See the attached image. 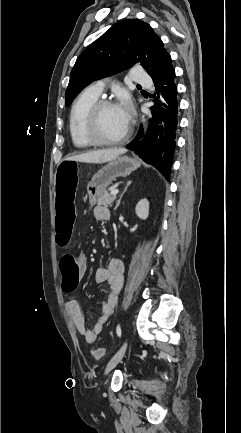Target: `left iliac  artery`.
<instances>
[{"label": "left iliac artery", "instance_id": "44dca946", "mask_svg": "<svg viewBox=\"0 0 241 433\" xmlns=\"http://www.w3.org/2000/svg\"><path fill=\"white\" fill-rule=\"evenodd\" d=\"M116 333H117V335H118L119 337H121L122 331H121V327H120V325L117 326V328H116Z\"/></svg>", "mask_w": 241, "mask_h": 433}]
</instances>
